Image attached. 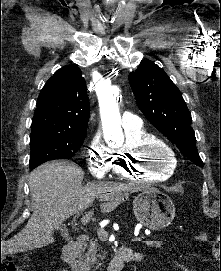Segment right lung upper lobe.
I'll use <instances>...</instances> for the list:
<instances>
[{"label": "right lung upper lobe", "mask_w": 221, "mask_h": 271, "mask_svg": "<svg viewBox=\"0 0 221 271\" xmlns=\"http://www.w3.org/2000/svg\"><path fill=\"white\" fill-rule=\"evenodd\" d=\"M36 106L32 131L87 132L89 98L80 68L59 69L41 90Z\"/></svg>", "instance_id": "1"}]
</instances>
